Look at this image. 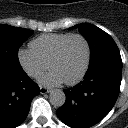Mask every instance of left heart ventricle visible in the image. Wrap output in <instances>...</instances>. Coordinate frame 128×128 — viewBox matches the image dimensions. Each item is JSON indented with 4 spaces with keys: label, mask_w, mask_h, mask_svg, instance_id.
I'll use <instances>...</instances> for the list:
<instances>
[{
    "label": "left heart ventricle",
    "mask_w": 128,
    "mask_h": 128,
    "mask_svg": "<svg viewBox=\"0 0 128 128\" xmlns=\"http://www.w3.org/2000/svg\"><path fill=\"white\" fill-rule=\"evenodd\" d=\"M86 59V47L79 38H74L68 42L59 60L52 64L54 70L63 81H69L79 75L83 69Z\"/></svg>",
    "instance_id": "left-heart-ventricle-1"
}]
</instances>
